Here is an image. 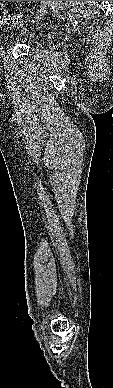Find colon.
I'll return each instance as SVG.
<instances>
[{"label":"colon","instance_id":"1","mask_svg":"<svg viewBox=\"0 0 113 388\" xmlns=\"http://www.w3.org/2000/svg\"><path fill=\"white\" fill-rule=\"evenodd\" d=\"M0 9H1V5H0ZM21 20H22V17L20 14H14L11 12L3 15L2 17L0 16V23L8 26L20 24Z\"/></svg>","mask_w":113,"mask_h":388}]
</instances>
